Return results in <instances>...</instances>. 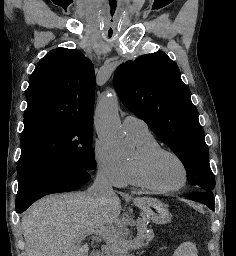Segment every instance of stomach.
<instances>
[{"instance_id": "stomach-1", "label": "stomach", "mask_w": 236, "mask_h": 256, "mask_svg": "<svg viewBox=\"0 0 236 256\" xmlns=\"http://www.w3.org/2000/svg\"><path fill=\"white\" fill-rule=\"evenodd\" d=\"M135 204L156 224H166L171 219L167 206L157 199L143 197L138 199Z\"/></svg>"}]
</instances>
